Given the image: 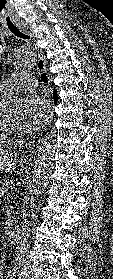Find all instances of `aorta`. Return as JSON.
Masks as SVG:
<instances>
[{"instance_id":"762f6f07","label":"aorta","mask_w":113,"mask_h":279,"mask_svg":"<svg viewBox=\"0 0 113 279\" xmlns=\"http://www.w3.org/2000/svg\"><path fill=\"white\" fill-rule=\"evenodd\" d=\"M34 64L33 52L20 53L15 60V66L18 69L31 68ZM53 155L54 150L51 139L49 137L42 138L37 148L36 162L33 171L32 193L34 195H40L46 189L53 169Z\"/></svg>"}]
</instances>
